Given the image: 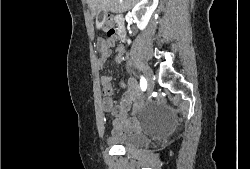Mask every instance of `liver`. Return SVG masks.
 <instances>
[{"mask_svg":"<svg viewBox=\"0 0 250 169\" xmlns=\"http://www.w3.org/2000/svg\"><path fill=\"white\" fill-rule=\"evenodd\" d=\"M92 16L98 12H125L137 4L139 0H87Z\"/></svg>","mask_w":250,"mask_h":169,"instance_id":"1","label":"liver"}]
</instances>
